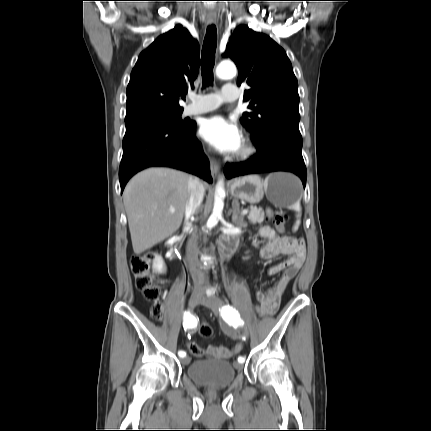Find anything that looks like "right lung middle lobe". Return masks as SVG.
I'll list each match as a JSON object with an SVG mask.
<instances>
[{
  "label": "right lung middle lobe",
  "mask_w": 431,
  "mask_h": 431,
  "mask_svg": "<svg viewBox=\"0 0 431 431\" xmlns=\"http://www.w3.org/2000/svg\"><path fill=\"white\" fill-rule=\"evenodd\" d=\"M181 114L182 111L156 113L137 119L125 120V125L126 129L152 122H165L178 126L186 125L188 122L182 120Z\"/></svg>",
  "instance_id": "1"
}]
</instances>
